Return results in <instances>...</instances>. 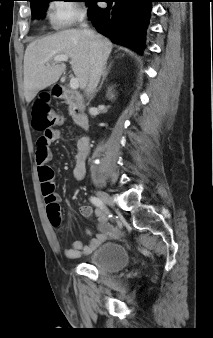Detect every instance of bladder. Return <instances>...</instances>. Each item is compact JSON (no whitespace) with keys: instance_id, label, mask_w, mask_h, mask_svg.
I'll use <instances>...</instances> for the list:
<instances>
[{"instance_id":"1","label":"bladder","mask_w":213,"mask_h":338,"mask_svg":"<svg viewBox=\"0 0 213 338\" xmlns=\"http://www.w3.org/2000/svg\"><path fill=\"white\" fill-rule=\"evenodd\" d=\"M129 256L124 244L119 242H106L94 250L87 264L102 273H116L129 264Z\"/></svg>"}]
</instances>
